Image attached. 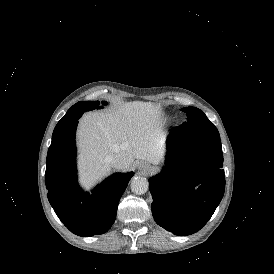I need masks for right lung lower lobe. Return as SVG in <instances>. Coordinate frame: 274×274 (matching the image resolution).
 Returning a JSON list of instances; mask_svg holds the SVG:
<instances>
[{
    "label": "right lung lower lobe",
    "instance_id": "obj_1",
    "mask_svg": "<svg viewBox=\"0 0 274 274\" xmlns=\"http://www.w3.org/2000/svg\"><path fill=\"white\" fill-rule=\"evenodd\" d=\"M84 113L74 109L66 128L52 137L46 160L48 200L62 223L78 236L90 237L108 231L115 221L119 200L133 173H115L90 196L76 180L75 132Z\"/></svg>",
    "mask_w": 274,
    "mask_h": 274
}]
</instances>
